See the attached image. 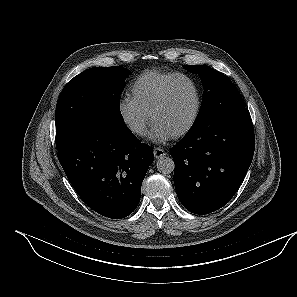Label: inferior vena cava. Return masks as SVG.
Segmentation results:
<instances>
[{"label": "inferior vena cava", "instance_id": "602c4592", "mask_svg": "<svg viewBox=\"0 0 297 297\" xmlns=\"http://www.w3.org/2000/svg\"><path fill=\"white\" fill-rule=\"evenodd\" d=\"M130 128L139 135L145 134V124L143 122H134L131 124Z\"/></svg>", "mask_w": 297, "mask_h": 297}]
</instances>
